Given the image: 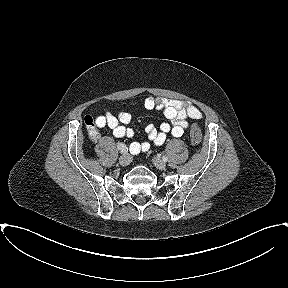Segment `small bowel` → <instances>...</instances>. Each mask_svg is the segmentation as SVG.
Wrapping results in <instances>:
<instances>
[{
    "instance_id": "c3829d8e",
    "label": "small bowel",
    "mask_w": 288,
    "mask_h": 288,
    "mask_svg": "<svg viewBox=\"0 0 288 288\" xmlns=\"http://www.w3.org/2000/svg\"><path fill=\"white\" fill-rule=\"evenodd\" d=\"M144 107L147 110H160L170 122L162 123L159 128L154 125H148L145 132L148 141L132 142L130 151L132 154L146 152L151 144L161 146L167 139V135L181 137L188 127V120H198L202 117L201 111L192 103L180 100H171L162 97H148L144 101ZM131 121V114L121 112L118 116L110 110L104 112L96 118L95 123L99 128L107 126L111 129L115 137H132L134 132L126 125Z\"/></svg>"
}]
</instances>
